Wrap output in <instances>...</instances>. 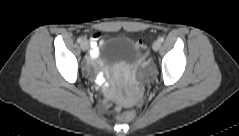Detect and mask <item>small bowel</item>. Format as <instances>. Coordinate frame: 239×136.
Listing matches in <instances>:
<instances>
[{
    "instance_id": "1",
    "label": "small bowel",
    "mask_w": 239,
    "mask_h": 136,
    "mask_svg": "<svg viewBox=\"0 0 239 136\" xmlns=\"http://www.w3.org/2000/svg\"><path fill=\"white\" fill-rule=\"evenodd\" d=\"M102 41L100 39V34H95L92 38H91V44L93 47V50L90 53V57H89V62H94L95 59L98 56V45H101Z\"/></svg>"
}]
</instances>
